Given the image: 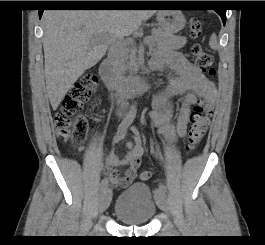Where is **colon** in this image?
<instances>
[{
    "label": "colon",
    "mask_w": 265,
    "mask_h": 245,
    "mask_svg": "<svg viewBox=\"0 0 265 245\" xmlns=\"http://www.w3.org/2000/svg\"><path fill=\"white\" fill-rule=\"evenodd\" d=\"M191 36L198 37L202 30L199 19L193 18L189 25ZM191 55L194 64L204 74L214 77L216 70L212 55L200 45L191 47ZM97 77L93 74L85 76L77 83L64 99L61 110L55 115L54 122L59 135L73 147L82 144L87 136V120L84 114L86 103L91 97V90L95 85ZM214 84L208 87V92H215ZM213 109L210 101L200 102L194 107L191 114V124L185 149L190 152L196 149L203 140L204 134L212 117ZM152 176L150 170H142L139 179L146 181Z\"/></svg>",
    "instance_id": "obj_1"
}]
</instances>
